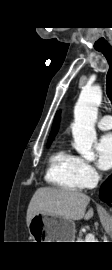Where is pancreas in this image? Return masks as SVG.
<instances>
[{"label": "pancreas", "instance_id": "obj_1", "mask_svg": "<svg viewBox=\"0 0 112 270\" xmlns=\"http://www.w3.org/2000/svg\"><path fill=\"white\" fill-rule=\"evenodd\" d=\"M77 242H83V240L81 238H78Z\"/></svg>", "mask_w": 112, "mask_h": 270}]
</instances>
